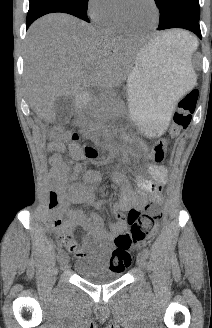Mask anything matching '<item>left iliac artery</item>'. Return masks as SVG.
Masks as SVG:
<instances>
[{
  "label": "left iliac artery",
  "instance_id": "44dca946",
  "mask_svg": "<svg viewBox=\"0 0 212 328\" xmlns=\"http://www.w3.org/2000/svg\"><path fill=\"white\" fill-rule=\"evenodd\" d=\"M141 254H143L145 258H148L149 250L147 248H144Z\"/></svg>",
  "mask_w": 212,
  "mask_h": 328
}]
</instances>
